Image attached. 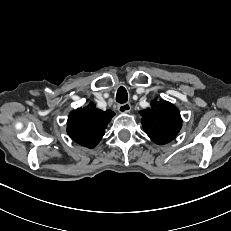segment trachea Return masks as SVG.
I'll return each instance as SVG.
<instances>
[{
  "label": "trachea",
  "mask_w": 231,
  "mask_h": 231,
  "mask_svg": "<svg viewBox=\"0 0 231 231\" xmlns=\"http://www.w3.org/2000/svg\"><path fill=\"white\" fill-rule=\"evenodd\" d=\"M116 101L118 103H126L128 101V94L127 91L124 87H119L118 91H117V95H116Z\"/></svg>",
  "instance_id": "trachea-1"
}]
</instances>
